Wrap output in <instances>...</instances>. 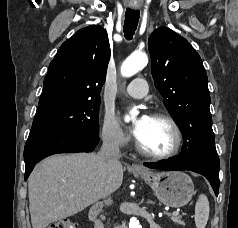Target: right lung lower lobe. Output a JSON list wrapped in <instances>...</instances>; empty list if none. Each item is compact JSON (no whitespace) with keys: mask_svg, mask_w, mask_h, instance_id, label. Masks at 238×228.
Here are the masks:
<instances>
[{"mask_svg":"<svg viewBox=\"0 0 238 228\" xmlns=\"http://www.w3.org/2000/svg\"><path fill=\"white\" fill-rule=\"evenodd\" d=\"M99 142L97 134L74 129L32 128L25 144V180L36 163L57 153L91 152Z\"/></svg>","mask_w":238,"mask_h":228,"instance_id":"right-lung-lower-lobe-1","label":"right lung lower lobe"}]
</instances>
